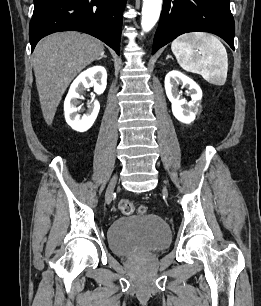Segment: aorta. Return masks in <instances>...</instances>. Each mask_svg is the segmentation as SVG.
Wrapping results in <instances>:
<instances>
[{"instance_id":"obj_1","label":"aorta","mask_w":261,"mask_h":306,"mask_svg":"<svg viewBox=\"0 0 261 306\" xmlns=\"http://www.w3.org/2000/svg\"><path fill=\"white\" fill-rule=\"evenodd\" d=\"M162 0H143L141 26L149 32L157 23L161 12Z\"/></svg>"}]
</instances>
